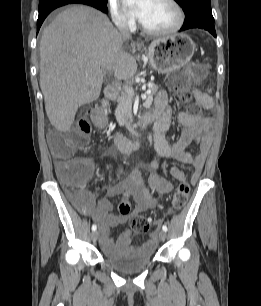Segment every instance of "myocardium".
Here are the masks:
<instances>
[{
    "label": "myocardium",
    "mask_w": 261,
    "mask_h": 306,
    "mask_svg": "<svg viewBox=\"0 0 261 306\" xmlns=\"http://www.w3.org/2000/svg\"><path fill=\"white\" fill-rule=\"evenodd\" d=\"M165 1L168 4H170L175 10L176 13L175 22L173 23V25H171L168 28L154 29L144 25L140 20H138V26L144 33L149 35H170L179 31L183 27L185 22V12L182 6L179 4L177 0H165Z\"/></svg>",
    "instance_id": "f54148a6"
}]
</instances>
